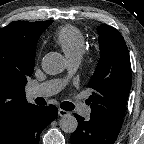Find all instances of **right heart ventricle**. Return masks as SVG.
I'll use <instances>...</instances> for the list:
<instances>
[{"label":"right heart ventricle","mask_w":144,"mask_h":144,"mask_svg":"<svg viewBox=\"0 0 144 144\" xmlns=\"http://www.w3.org/2000/svg\"><path fill=\"white\" fill-rule=\"evenodd\" d=\"M54 41L69 59L79 57L85 48L84 34L74 25H64L57 29L54 33Z\"/></svg>","instance_id":"right-heart-ventricle-1"}]
</instances>
